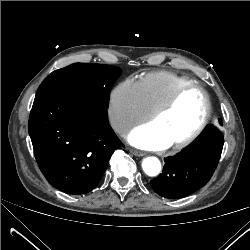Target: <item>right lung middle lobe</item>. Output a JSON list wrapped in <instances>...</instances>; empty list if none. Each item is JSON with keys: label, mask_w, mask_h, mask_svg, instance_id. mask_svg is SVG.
<instances>
[{"label": "right lung middle lobe", "mask_w": 250, "mask_h": 250, "mask_svg": "<svg viewBox=\"0 0 250 250\" xmlns=\"http://www.w3.org/2000/svg\"><path fill=\"white\" fill-rule=\"evenodd\" d=\"M120 75L121 69L118 67L74 63L47 76L36 96L51 91H64L108 108L111 87Z\"/></svg>", "instance_id": "obj_1"}]
</instances>
